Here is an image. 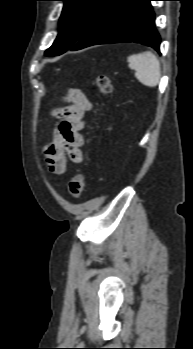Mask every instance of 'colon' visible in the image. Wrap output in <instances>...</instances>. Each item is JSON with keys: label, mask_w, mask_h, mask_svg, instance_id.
<instances>
[{"label": "colon", "mask_w": 193, "mask_h": 349, "mask_svg": "<svg viewBox=\"0 0 193 349\" xmlns=\"http://www.w3.org/2000/svg\"><path fill=\"white\" fill-rule=\"evenodd\" d=\"M95 88L103 95H108L112 91V83L108 76L98 75L94 79ZM85 175L83 173L75 174L69 181L68 190L72 197L79 198L85 188Z\"/></svg>", "instance_id": "1"}]
</instances>
